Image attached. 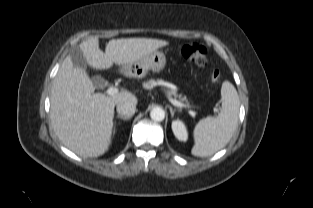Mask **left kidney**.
I'll return each instance as SVG.
<instances>
[{
    "label": "left kidney",
    "instance_id": "5707ae66",
    "mask_svg": "<svg viewBox=\"0 0 313 208\" xmlns=\"http://www.w3.org/2000/svg\"><path fill=\"white\" fill-rule=\"evenodd\" d=\"M172 131L175 137L180 141H186L188 138V132L185 124L180 120H174L172 122Z\"/></svg>",
    "mask_w": 313,
    "mask_h": 208
}]
</instances>
